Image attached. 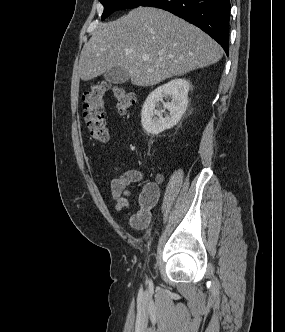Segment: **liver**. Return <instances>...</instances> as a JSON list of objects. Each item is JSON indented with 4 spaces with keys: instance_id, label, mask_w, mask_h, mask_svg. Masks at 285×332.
Returning <instances> with one entry per match:
<instances>
[{
    "instance_id": "obj_1",
    "label": "liver",
    "mask_w": 285,
    "mask_h": 332,
    "mask_svg": "<svg viewBox=\"0 0 285 332\" xmlns=\"http://www.w3.org/2000/svg\"><path fill=\"white\" fill-rule=\"evenodd\" d=\"M222 55L221 46L198 27L162 9L140 6L96 27L81 51L79 76L89 81L121 67L133 85L153 86L212 65Z\"/></svg>"
}]
</instances>
